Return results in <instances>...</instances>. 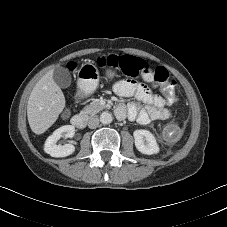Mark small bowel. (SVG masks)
<instances>
[{
    "mask_svg": "<svg viewBox=\"0 0 227 227\" xmlns=\"http://www.w3.org/2000/svg\"><path fill=\"white\" fill-rule=\"evenodd\" d=\"M144 78L150 80L147 76ZM113 91L121 98L135 97L145 105L139 107L137 103H130L128 106L120 104L116 110V115L120 119L127 116L130 120H136L139 124L147 125L151 121L168 120L172 117V111L166 107L165 99L158 94H154L145 83L132 79H123L114 84Z\"/></svg>",
    "mask_w": 227,
    "mask_h": 227,
    "instance_id": "small-bowel-1",
    "label": "small bowel"
}]
</instances>
